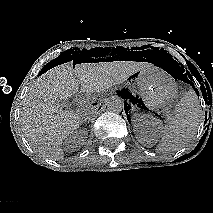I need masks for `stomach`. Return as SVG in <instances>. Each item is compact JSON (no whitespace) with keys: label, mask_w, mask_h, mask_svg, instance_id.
<instances>
[{"label":"stomach","mask_w":213,"mask_h":213,"mask_svg":"<svg viewBox=\"0 0 213 213\" xmlns=\"http://www.w3.org/2000/svg\"><path fill=\"white\" fill-rule=\"evenodd\" d=\"M130 78L137 83L145 105L151 110L166 107L177 98L176 84L158 69H142Z\"/></svg>","instance_id":"1"}]
</instances>
